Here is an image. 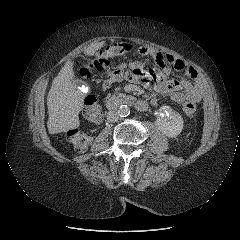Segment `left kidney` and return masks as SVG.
Returning <instances> with one entry per match:
<instances>
[{"label": "left kidney", "instance_id": "left-kidney-1", "mask_svg": "<svg viewBox=\"0 0 240 240\" xmlns=\"http://www.w3.org/2000/svg\"><path fill=\"white\" fill-rule=\"evenodd\" d=\"M158 129L168 137L178 136L183 129V119L179 113L170 107L163 106L159 110V116L155 122Z\"/></svg>", "mask_w": 240, "mask_h": 240}]
</instances>
